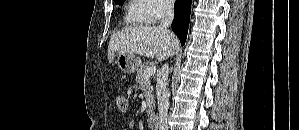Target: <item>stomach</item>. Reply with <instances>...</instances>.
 Wrapping results in <instances>:
<instances>
[{
    "mask_svg": "<svg viewBox=\"0 0 299 130\" xmlns=\"http://www.w3.org/2000/svg\"><path fill=\"white\" fill-rule=\"evenodd\" d=\"M116 63L122 72L131 74L140 67L141 60L135 54L119 53Z\"/></svg>",
    "mask_w": 299,
    "mask_h": 130,
    "instance_id": "stomach-1",
    "label": "stomach"
}]
</instances>
